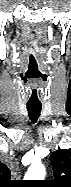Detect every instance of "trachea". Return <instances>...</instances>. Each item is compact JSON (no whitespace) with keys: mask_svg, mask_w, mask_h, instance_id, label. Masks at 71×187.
<instances>
[{"mask_svg":"<svg viewBox=\"0 0 71 187\" xmlns=\"http://www.w3.org/2000/svg\"><path fill=\"white\" fill-rule=\"evenodd\" d=\"M30 120L35 123L40 116L41 105H27Z\"/></svg>","mask_w":71,"mask_h":187,"instance_id":"obj_1","label":"trachea"}]
</instances>
